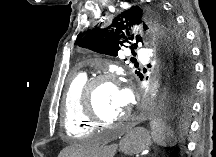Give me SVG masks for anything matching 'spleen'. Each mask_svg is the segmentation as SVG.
Here are the masks:
<instances>
[{
    "mask_svg": "<svg viewBox=\"0 0 216 157\" xmlns=\"http://www.w3.org/2000/svg\"><path fill=\"white\" fill-rule=\"evenodd\" d=\"M151 137L153 141L163 147H172L176 144L174 132L162 120L151 122Z\"/></svg>",
    "mask_w": 216,
    "mask_h": 157,
    "instance_id": "spleen-1",
    "label": "spleen"
}]
</instances>
